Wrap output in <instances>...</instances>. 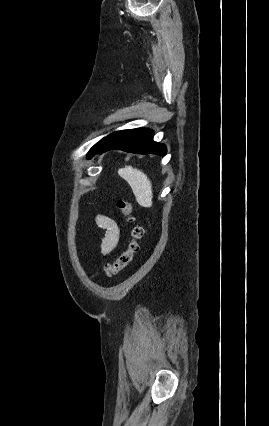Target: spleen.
I'll return each instance as SVG.
<instances>
[{
    "label": "spleen",
    "instance_id": "3e777b00",
    "mask_svg": "<svg viewBox=\"0 0 269 426\" xmlns=\"http://www.w3.org/2000/svg\"><path fill=\"white\" fill-rule=\"evenodd\" d=\"M118 174L130 185L138 204L149 208L152 206V184L147 175L132 166H125L118 170Z\"/></svg>",
    "mask_w": 269,
    "mask_h": 426
}]
</instances>
